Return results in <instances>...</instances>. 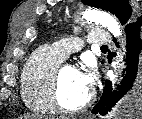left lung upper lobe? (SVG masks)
I'll use <instances>...</instances> for the list:
<instances>
[{
  "label": "left lung upper lobe",
  "mask_w": 142,
  "mask_h": 119,
  "mask_svg": "<svg viewBox=\"0 0 142 119\" xmlns=\"http://www.w3.org/2000/svg\"><path fill=\"white\" fill-rule=\"evenodd\" d=\"M83 2L89 6L111 12L124 26L141 16L136 9H132L128 0H83Z\"/></svg>",
  "instance_id": "obj_1"
}]
</instances>
